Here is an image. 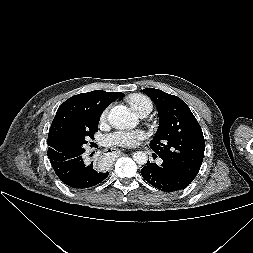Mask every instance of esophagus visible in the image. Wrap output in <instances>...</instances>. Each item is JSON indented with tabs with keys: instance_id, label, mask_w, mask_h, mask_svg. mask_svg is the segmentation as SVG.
Instances as JSON below:
<instances>
[{
	"instance_id": "34e87169",
	"label": "esophagus",
	"mask_w": 253,
	"mask_h": 253,
	"mask_svg": "<svg viewBox=\"0 0 253 253\" xmlns=\"http://www.w3.org/2000/svg\"><path fill=\"white\" fill-rule=\"evenodd\" d=\"M106 152L109 154H115V155L121 154V150L118 148H110V149L106 150Z\"/></svg>"
}]
</instances>
